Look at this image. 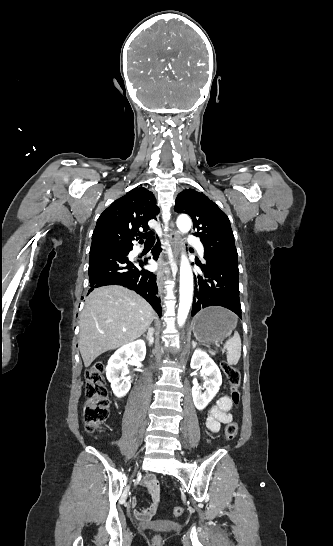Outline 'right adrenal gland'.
I'll return each mask as SVG.
<instances>
[{
  "label": "right adrenal gland",
  "mask_w": 333,
  "mask_h": 546,
  "mask_svg": "<svg viewBox=\"0 0 333 546\" xmlns=\"http://www.w3.org/2000/svg\"><path fill=\"white\" fill-rule=\"evenodd\" d=\"M154 334H155L154 328L150 327L147 335L145 334L143 335V338H145L148 341L149 346H152L154 344Z\"/></svg>",
  "instance_id": "right-adrenal-gland-1"
}]
</instances>
